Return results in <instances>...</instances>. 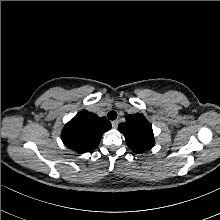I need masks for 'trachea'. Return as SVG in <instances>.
<instances>
[{
    "label": "trachea",
    "mask_w": 220,
    "mask_h": 220,
    "mask_svg": "<svg viewBox=\"0 0 220 220\" xmlns=\"http://www.w3.org/2000/svg\"><path fill=\"white\" fill-rule=\"evenodd\" d=\"M107 117L109 120H115L117 118V112L116 111H110L107 114Z\"/></svg>",
    "instance_id": "3493384b"
}]
</instances>
